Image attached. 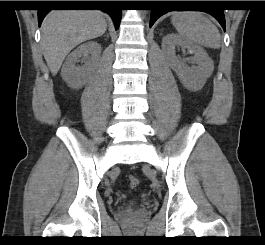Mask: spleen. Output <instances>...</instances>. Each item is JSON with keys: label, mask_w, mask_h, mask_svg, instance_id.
<instances>
[{"label": "spleen", "mask_w": 265, "mask_h": 245, "mask_svg": "<svg viewBox=\"0 0 265 245\" xmlns=\"http://www.w3.org/2000/svg\"><path fill=\"white\" fill-rule=\"evenodd\" d=\"M171 22L182 38L207 48L220 47L221 36L217 27L200 12H175Z\"/></svg>", "instance_id": "3e777b00"}]
</instances>
